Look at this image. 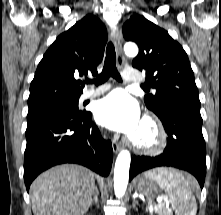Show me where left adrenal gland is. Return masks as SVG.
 <instances>
[{
	"label": "left adrenal gland",
	"instance_id": "a2214340",
	"mask_svg": "<svg viewBox=\"0 0 221 215\" xmlns=\"http://www.w3.org/2000/svg\"><path fill=\"white\" fill-rule=\"evenodd\" d=\"M136 205H138V202L133 198V208H135Z\"/></svg>",
	"mask_w": 221,
	"mask_h": 215
}]
</instances>
